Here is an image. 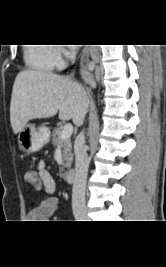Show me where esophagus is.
Returning <instances> with one entry per match:
<instances>
[{"instance_id":"obj_1","label":"esophagus","mask_w":166,"mask_h":267,"mask_svg":"<svg viewBox=\"0 0 166 267\" xmlns=\"http://www.w3.org/2000/svg\"><path fill=\"white\" fill-rule=\"evenodd\" d=\"M86 52V50L83 52V54ZM82 77L84 79V81H92V78L90 76V74L86 71V69L82 70Z\"/></svg>"}]
</instances>
